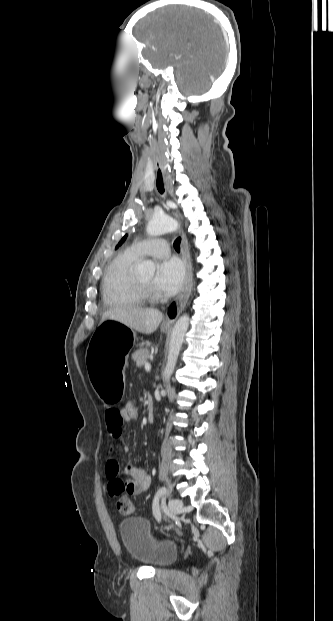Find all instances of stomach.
Returning a JSON list of instances; mask_svg holds the SVG:
<instances>
[{"label": "stomach", "mask_w": 333, "mask_h": 621, "mask_svg": "<svg viewBox=\"0 0 333 621\" xmlns=\"http://www.w3.org/2000/svg\"><path fill=\"white\" fill-rule=\"evenodd\" d=\"M136 333L126 325L104 321L94 332L86 353L87 373L93 389L105 401V407L114 411L122 401L126 388L125 351L135 342Z\"/></svg>", "instance_id": "1"}]
</instances>
